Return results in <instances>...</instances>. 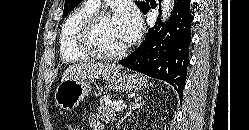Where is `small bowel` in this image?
I'll return each instance as SVG.
<instances>
[{"label": "small bowel", "mask_w": 249, "mask_h": 130, "mask_svg": "<svg viewBox=\"0 0 249 130\" xmlns=\"http://www.w3.org/2000/svg\"><path fill=\"white\" fill-rule=\"evenodd\" d=\"M89 128L90 130H103V125L95 115H91L89 118Z\"/></svg>", "instance_id": "1"}]
</instances>
